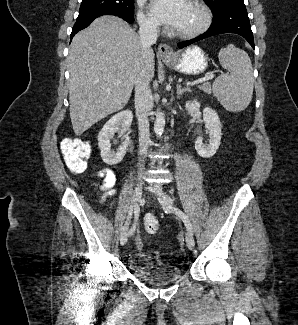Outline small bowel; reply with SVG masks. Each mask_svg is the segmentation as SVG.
<instances>
[{"label":"small bowel","mask_w":298,"mask_h":325,"mask_svg":"<svg viewBox=\"0 0 298 325\" xmlns=\"http://www.w3.org/2000/svg\"><path fill=\"white\" fill-rule=\"evenodd\" d=\"M99 178L102 180L99 187L104 191L105 196L114 195L116 192V175L109 169L105 168L99 171Z\"/></svg>","instance_id":"small-bowel-1"}]
</instances>
